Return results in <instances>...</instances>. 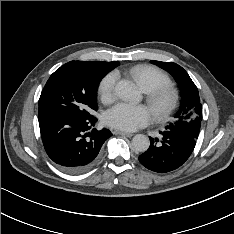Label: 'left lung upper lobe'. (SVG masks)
Segmentation results:
<instances>
[{
    "mask_svg": "<svg viewBox=\"0 0 234 234\" xmlns=\"http://www.w3.org/2000/svg\"><path fill=\"white\" fill-rule=\"evenodd\" d=\"M151 62L168 71L177 81L181 90V107L175 115V121L170 123L166 129L180 130L197 139L202 120V105L196 85L178 64L154 60Z\"/></svg>",
    "mask_w": 234,
    "mask_h": 234,
    "instance_id": "5c2ea615",
    "label": "left lung upper lobe"
}]
</instances>
